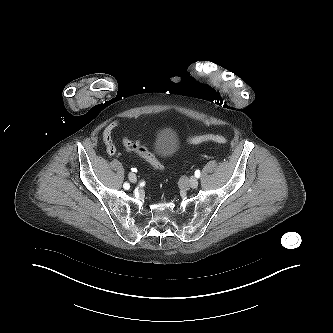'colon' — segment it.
Returning a JSON list of instances; mask_svg holds the SVG:
<instances>
[{"mask_svg":"<svg viewBox=\"0 0 333 333\" xmlns=\"http://www.w3.org/2000/svg\"><path fill=\"white\" fill-rule=\"evenodd\" d=\"M188 141L191 144H200L204 142H215L219 144H225L227 139L224 136L217 134H203L198 136H192L188 138ZM123 146L126 150L133 152L146 161H148L155 170L160 171L162 169V165L160 161L148 150L143 148L138 142L133 141L127 137L123 139Z\"/></svg>","mask_w":333,"mask_h":333,"instance_id":"obj_1","label":"colon"}]
</instances>
